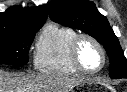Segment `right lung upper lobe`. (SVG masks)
Segmentation results:
<instances>
[{
  "label": "right lung upper lobe",
  "mask_w": 127,
  "mask_h": 92,
  "mask_svg": "<svg viewBox=\"0 0 127 92\" xmlns=\"http://www.w3.org/2000/svg\"><path fill=\"white\" fill-rule=\"evenodd\" d=\"M48 7H11L0 13V33H12L34 27H42L47 19Z\"/></svg>",
  "instance_id": "cb5924a9"
}]
</instances>
